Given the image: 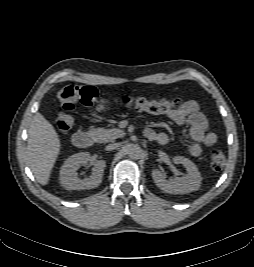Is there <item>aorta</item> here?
<instances>
[{
	"label": "aorta",
	"instance_id": "1",
	"mask_svg": "<svg viewBox=\"0 0 254 267\" xmlns=\"http://www.w3.org/2000/svg\"><path fill=\"white\" fill-rule=\"evenodd\" d=\"M127 154L131 159H140L142 157L143 151L138 144L127 145Z\"/></svg>",
	"mask_w": 254,
	"mask_h": 267
}]
</instances>
